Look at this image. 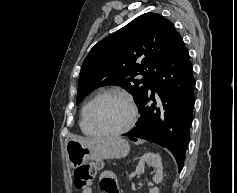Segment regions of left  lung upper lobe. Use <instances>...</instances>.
<instances>
[{
  "mask_svg": "<svg viewBox=\"0 0 237 193\" xmlns=\"http://www.w3.org/2000/svg\"><path fill=\"white\" fill-rule=\"evenodd\" d=\"M181 40L173 24L161 15H140L90 50L79 74L77 103L94 88L119 85L139 105L155 74Z\"/></svg>",
  "mask_w": 237,
  "mask_h": 193,
  "instance_id": "5c2ea615",
  "label": "left lung upper lobe"
}]
</instances>
